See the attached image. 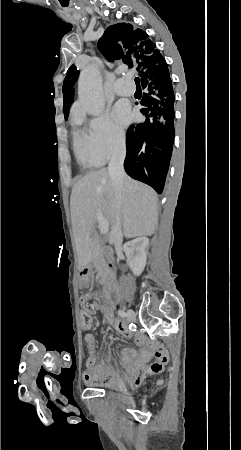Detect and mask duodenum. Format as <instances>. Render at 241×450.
<instances>
[{
    "label": "duodenum",
    "instance_id": "410a0bca",
    "mask_svg": "<svg viewBox=\"0 0 241 450\" xmlns=\"http://www.w3.org/2000/svg\"><path fill=\"white\" fill-rule=\"evenodd\" d=\"M107 266H108V269L110 272H109V276L106 280L105 294L109 301L116 302L119 299V289H118V284L112 274L114 264L112 261H108ZM91 273L92 272L89 268H83L81 270L80 279L83 284H87L89 282V280L91 278Z\"/></svg>",
    "mask_w": 241,
    "mask_h": 450
}]
</instances>
